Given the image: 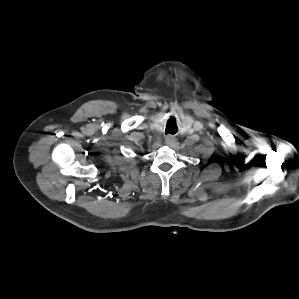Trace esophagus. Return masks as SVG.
Returning a JSON list of instances; mask_svg holds the SVG:
<instances>
[{"instance_id": "esophagus-1", "label": "esophagus", "mask_w": 299, "mask_h": 299, "mask_svg": "<svg viewBox=\"0 0 299 299\" xmlns=\"http://www.w3.org/2000/svg\"><path fill=\"white\" fill-rule=\"evenodd\" d=\"M165 143L168 145V146H171L175 143V138L171 135H168L166 138H165Z\"/></svg>"}]
</instances>
